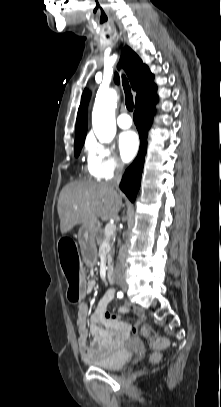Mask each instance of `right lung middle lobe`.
Instances as JSON below:
<instances>
[{"mask_svg":"<svg viewBox=\"0 0 221 407\" xmlns=\"http://www.w3.org/2000/svg\"><path fill=\"white\" fill-rule=\"evenodd\" d=\"M83 144H84V142H79V143L74 144V154L76 157L79 156Z\"/></svg>","mask_w":221,"mask_h":407,"instance_id":"obj_1","label":"right lung middle lobe"}]
</instances>
